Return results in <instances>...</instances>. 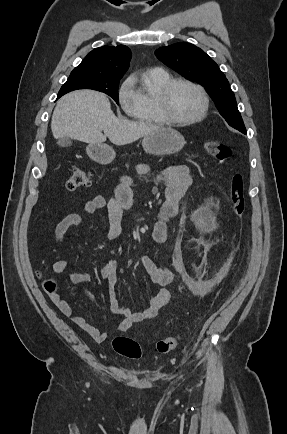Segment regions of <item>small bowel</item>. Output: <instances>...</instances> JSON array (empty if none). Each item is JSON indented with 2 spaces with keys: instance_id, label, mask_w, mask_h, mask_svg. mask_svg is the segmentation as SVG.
I'll return each mask as SVG.
<instances>
[{
  "instance_id": "obj_1",
  "label": "small bowel",
  "mask_w": 287,
  "mask_h": 434,
  "mask_svg": "<svg viewBox=\"0 0 287 434\" xmlns=\"http://www.w3.org/2000/svg\"><path fill=\"white\" fill-rule=\"evenodd\" d=\"M136 172L140 175H147L149 170L143 165H138ZM156 180L165 188V200L160 207L158 220L153 227L152 238L156 243H165L169 239L170 233L168 222L177 215L179 202L192 184L193 175L187 166L176 164L158 173ZM132 181V176H123L112 199L107 201L102 195H97L88 200L83 205L80 212L70 214L63 218L55 229L56 241L62 243L71 228L81 226L86 216L102 209H105L107 212L108 237L110 239H120L123 236V210L132 207L134 202ZM139 262L146 271L151 283L157 285L159 289L150 299L148 307L136 313L123 306L113 293L110 294L109 304L111 312L123 317L117 327L119 332L128 330L134 323L153 319L158 311L166 305L171 298L168 285L173 279L172 272L168 269L158 267L154 261L146 255H140ZM66 267L67 261L58 259L53 262L52 271L56 274L63 273ZM117 268L118 261L110 260L101 269V277L108 282L110 287H113L117 282ZM90 279L91 275L89 272L68 273V280L74 285L86 283ZM71 291L74 294L82 295L89 301L94 300L93 295L87 291H80L75 287H73ZM51 300L63 314L69 316L77 326L83 329L96 342L103 343L109 339L107 332L100 331L84 317L76 314L64 298L55 294L51 295Z\"/></svg>"
}]
</instances>
